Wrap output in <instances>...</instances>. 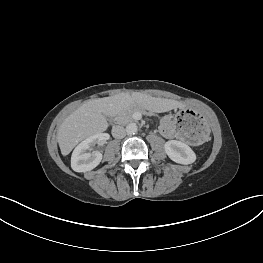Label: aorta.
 <instances>
[{
    "instance_id": "aorta-1",
    "label": "aorta",
    "mask_w": 263,
    "mask_h": 263,
    "mask_svg": "<svg viewBox=\"0 0 263 263\" xmlns=\"http://www.w3.org/2000/svg\"><path fill=\"white\" fill-rule=\"evenodd\" d=\"M125 130H126L127 134L134 135L137 133L138 127H137L136 123H129V124H127Z\"/></svg>"
}]
</instances>
